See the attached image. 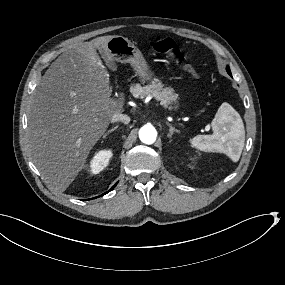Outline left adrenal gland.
<instances>
[{"label":"left adrenal gland","mask_w":285,"mask_h":285,"mask_svg":"<svg viewBox=\"0 0 285 285\" xmlns=\"http://www.w3.org/2000/svg\"><path fill=\"white\" fill-rule=\"evenodd\" d=\"M166 125L170 128V132L167 135L168 138H172V136L175 133L180 134V132L178 130H176L175 128H173L172 125H170L168 122L166 123Z\"/></svg>","instance_id":"obj_1"}]
</instances>
